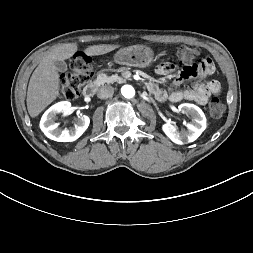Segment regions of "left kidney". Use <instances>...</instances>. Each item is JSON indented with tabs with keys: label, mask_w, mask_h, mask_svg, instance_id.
<instances>
[{
	"label": "left kidney",
	"mask_w": 253,
	"mask_h": 253,
	"mask_svg": "<svg viewBox=\"0 0 253 253\" xmlns=\"http://www.w3.org/2000/svg\"><path fill=\"white\" fill-rule=\"evenodd\" d=\"M178 111L190 116L192 122L187 124V130L179 132L176 126L166 123L162 126L164 133L176 144L182 145L195 141L206 129V117L196 105L183 103L178 106Z\"/></svg>",
	"instance_id": "5707ae66"
}]
</instances>
